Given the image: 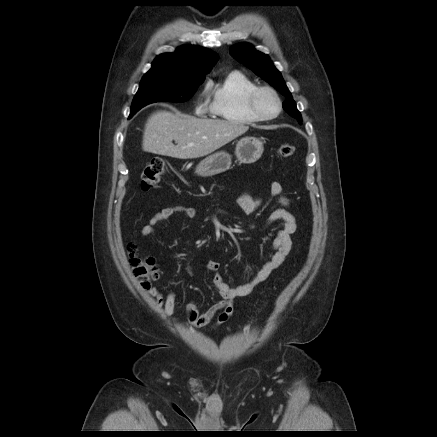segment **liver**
Wrapping results in <instances>:
<instances>
[{"mask_svg": "<svg viewBox=\"0 0 437 437\" xmlns=\"http://www.w3.org/2000/svg\"><path fill=\"white\" fill-rule=\"evenodd\" d=\"M248 129V126L230 121L157 111L145 124L142 149L179 159L200 158L241 136ZM173 140L177 145L172 143Z\"/></svg>", "mask_w": 437, "mask_h": 437, "instance_id": "liver-1", "label": "liver"}]
</instances>
